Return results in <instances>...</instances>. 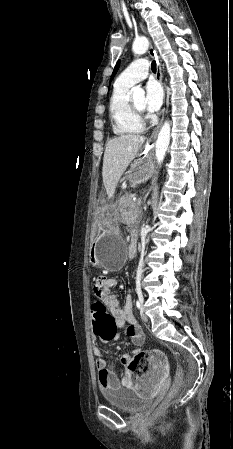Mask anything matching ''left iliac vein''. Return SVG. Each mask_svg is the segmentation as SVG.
Instances as JSON below:
<instances>
[{"label": "left iliac vein", "mask_w": 233, "mask_h": 449, "mask_svg": "<svg viewBox=\"0 0 233 449\" xmlns=\"http://www.w3.org/2000/svg\"><path fill=\"white\" fill-rule=\"evenodd\" d=\"M140 316H141L142 321L148 322V317L143 311H141Z\"/></svg>", "instance_id": "obj_1"}]
</instances>
